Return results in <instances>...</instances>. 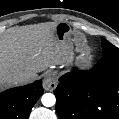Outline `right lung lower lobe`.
<instances>
[{
	"label": "right lung lower lobe",
	"instance_id": "1",
	"mask_svg": "<svg viewBox=\"0 0 119 119\" xmlns=\"http://www.w3.org/2000/svg\"><path fill=\"white\" fill-rule=\"evenodd\" d=\"M43 92L42 81L38 80L0 93V119H28Z\"/></svg>",
	"mask_w": 119,
	"mask_h": 119
}]
</instances>
